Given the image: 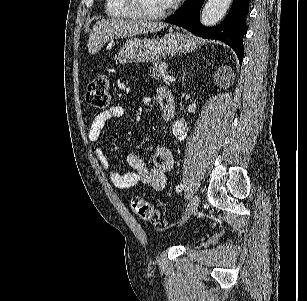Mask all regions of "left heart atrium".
Segmentation results:
<instances>
[{"label": "left heart atrium", "mask_w": 307, "mask_h": 301, "mask_svg": "<svg viewBox=\"0 0 307 301\" xmlns=\"http://www.w3.org/2000/svg\"><path fill=\"white\" fill-rule=\"evenodd\" d=\"M183 0H167L168 4H182Z\"/></svg>", "instance_id": "1"}]
</instances>
